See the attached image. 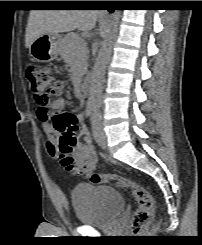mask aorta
Listing matches in <instances>:
<instances>
[{"instance_id":"obj_1","label":"aorta","mask_w":202,"mask_h":245,"mask_svg":"<svg viewBox=\"0 0 202 245\" xmlns=\"http://www.w3.org/2000/svg\"><path fill=\"white\" fill-rule=\"evenodd\" d=\"M120 16L121 13L119 10H116L112 14L111 21L107 27L104 40L101 43V48L95 60L93 70L91 73V81H90L91 102H96L101 98L105 70H106L107 63L109 62V59L111 57L113 39L118 27Z\"/></svg>"}]
</instances>
